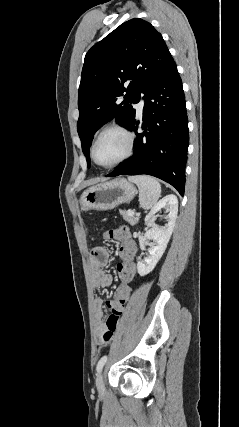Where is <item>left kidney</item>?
Returning <instances> with one entry per match:
<instances>
[{
  "mask_svg": "<svg viewBox=\"0 0 239 427\" xmlns=\"http://www.w3.org/2000/svg\"><path fill=\"white\" fill-rule=\"evenodd\" d=\"M166 209L167 223L164 227L154 226L147 230L145 237L153 241L152 246L148 249L149 255L137 263V271L140 276H145L150 273L162 257L166 250L167 244L173 232L175 221L178 213V199L175 195H168L160 200L150 210L145 218V222L149 221L156 213Z\"/></svg>",
  "mask_w": 239,
  "mask_h": 427,
  "instance_id": "left-kidney-1",
  "label": "left kidney"
}]
</instances>
